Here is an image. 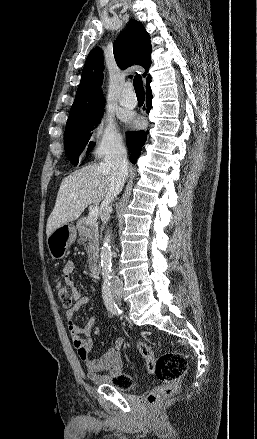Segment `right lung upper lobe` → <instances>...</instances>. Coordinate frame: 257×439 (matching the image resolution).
<instances>
[{
	"mask_svg": "<svg viewBox=\"0 0 257 439\" xmlns=\"http://www.w3.org/2000/svg\"><path fill=\"white\" fill-rule=\"evenodd\" d=\"M113 53L120 69L123 70L137 64L145 68L143 76H147L146 81L151 78L150 75H147L151 64L150 36L140 22L130 21L127 29L114 42ZM103 69V54L101 49L96 47L86 59L75 101L67 121L104 108L105 100L100 91Z\"/></svg>",
	"mask_w": 257,
	"mask_h": 439,
	"instance_id": "cb5924a9",
	"label": "right lung upper lobe"
}]
</instances>
